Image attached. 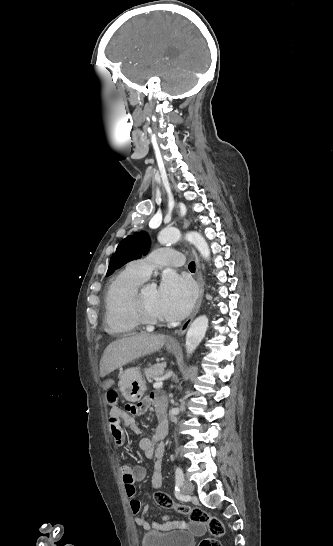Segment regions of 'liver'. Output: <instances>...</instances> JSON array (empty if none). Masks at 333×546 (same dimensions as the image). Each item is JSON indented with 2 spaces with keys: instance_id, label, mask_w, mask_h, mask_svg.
<instances>
[{
  "instance_id": "liver-1",
  "label": "liver",
  "mask_w": 333,
  "mask_h": 546,
  "mask_svg": "<svg viewBox=\"0 0 333 546\" xmlns=\"http://www.w3.org/2000/svg\"><path fill=\"white\" fill-rule=\"evenodd\" d=\"M166 341L164 335L137 334L109 344L100 361V376L105 377L129 362L160 350Z\"/></svg>"
}]
</instances>
